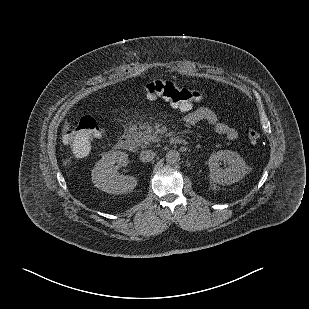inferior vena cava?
<instances>
[{
	"mask_svg": "<svg viewBox=\"0 0 309 309\" xmlns=\"http://www.w3.org/2000/svg\"><path fill=\"white\" fill-rule=\"evenodd\" d=\"M156 154L151 150H144L140 153V160L142 162H150L155 158Z\"/></svg>",
	"mask_w": 309,
	"mask_h": 309,
	"instance_id": "obj_1",
	"label": "inferior vena cava"
}]
</instances>
